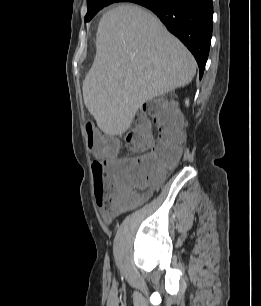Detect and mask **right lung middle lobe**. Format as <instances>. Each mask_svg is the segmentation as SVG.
<instances>
[{
	"mask_svg": "<svg viewBox=\"0 0 261 306\" xmlns=\"http://www.w3.org/2000/svg\"><path fill=\"white\" fill-rule=\"evenodd\" d=\"M114 0H90L87 2L88 12L85 16V22L90 21L102 8L109 4L116 3Z\"/></svg>",
	"mask_w": 261,
	"mask_h": 306,
	"instance_id": "right-lung-middle-lobe-1",
	"label": "right lung middle lobe"
}]
</instances>
